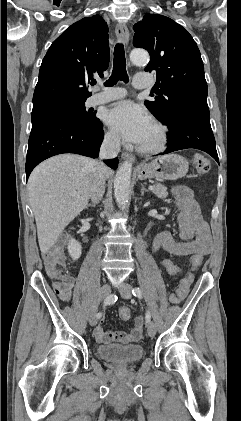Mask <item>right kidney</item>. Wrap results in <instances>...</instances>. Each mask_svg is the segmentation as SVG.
<instances>
[{
  "label": "right kidney",
  "instance_id": "1",
  "mask_svg": "<svg viewBox=\"0 0 241 421\" xmlns=\"http://www.w3.org/2000/svg\"><path fill=\"white\" fill-rule=\"evenodd\" d=\"M68 252L73 260H77L82 253L81 244L75 239H70L68 244Z\"/></svg>",
  "mask_w": 241,
  "mask_h": 421
}]
</instances>
